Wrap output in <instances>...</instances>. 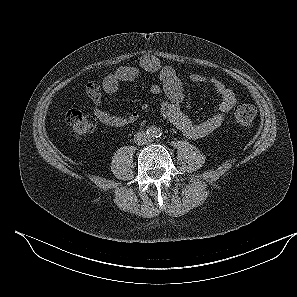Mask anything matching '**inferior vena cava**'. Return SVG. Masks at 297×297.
<instances>
[{"mask_svg": "<svg viewBox=\"0 0 297 297\" xmlns=\"http://www.w3.org/2000/svg\"><path fill=\"white\" fill-rule=\"evenodd\" d=\"M150 140V135L145 131H139L134 135V142L137 145H144Z\"/></svg>", "mask_w": 297, "mask_h": 297, "instance_id": "obj_1", "label": "inferior vena cava"}]
</instances>
